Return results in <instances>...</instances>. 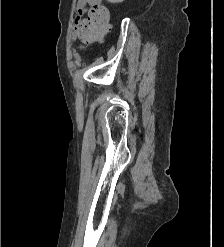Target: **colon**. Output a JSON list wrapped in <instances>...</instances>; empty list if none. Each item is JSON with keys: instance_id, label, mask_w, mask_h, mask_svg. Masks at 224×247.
<instances>
[{"instance_id": "5ec220e1", "label": "colon", "mask_w": 224, "mask_h": 247, "mask_svg": "<svg viewBox=\"0 0 224 247\" xmlns=\"http://www.w3.org/2000/svg\"><path fill=\"white\" fill-rule=\"evenodd\" d=\"M109 21L110 15L106 7L99 5L91 8L81 27V40L85 43H92L99 39L109 30Z\"/></svg>"}]
</instances>
